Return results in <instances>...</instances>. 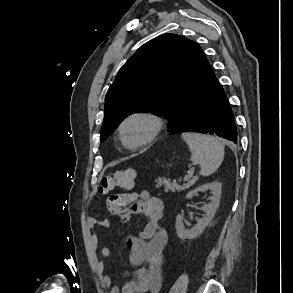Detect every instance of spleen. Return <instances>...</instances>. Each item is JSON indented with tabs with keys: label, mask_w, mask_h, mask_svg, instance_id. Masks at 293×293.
Wrapping results in <instances>:
<instances>
[{
	"label": "spleen",
	"mask_w": 293,
	"mask_h": 293,
	"mask_svg": "<svg viewBox=\"0 0 293 293\" xmlns=\"http://www.w3.org/2000/svg\"><path fill=\"white\" fill-rule=\"evenodd\" d=\"M181 137L191 151V161L200 165L201 175L208 176L218 169L224 158V145L218 138L189 132Z\"/></svg>",
	"instance_id": "1"
}]
</instances>
